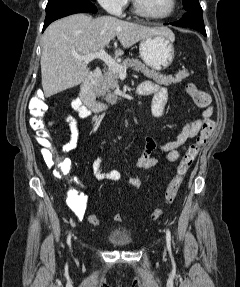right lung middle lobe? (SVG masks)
Returning a JSON list of instances; mask_svg holds the SVG:
<instances>
[{
  "mask_svg": "<svg viewBox=\"0 0 240 287\" xmlns=\"http://www.w3.org/2000/svg\"><path fill=\"white\" fill-rule=\"evenodd\" d=\"M78 1H85V0H49L47 3L46 8L56 5V4H60V3H65V2H78ZM90 1H95V0H90Z\"/></svg>",
  "mask_w": 240,
  "mask_h": 287,
  "instance_id": "obj_1",
  "label": "right lung middle lobe"
}]
</instances>
